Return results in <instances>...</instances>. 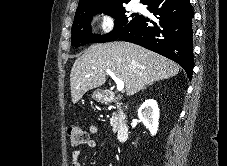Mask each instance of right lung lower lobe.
I'll list each match as a JSON object with an SVG mask.
<instances>
[{"label":"right lung lower lobe","mask_w":227,"mask_h":166,"mask_svg":"<svg viewBox=\"0 0 227 166\" xmlns=\"http://www.w3.org/2000/svg\"><path fill=\"white\" fill-rule=\"evenodd\" d=\"M148 10L158 19L150 21L141 16L139 21L117 39L141 45L180 64L191 80L193 71L194 16L189 0H148Z\"/></svg>","instance_id":"1"}]
</instances>
